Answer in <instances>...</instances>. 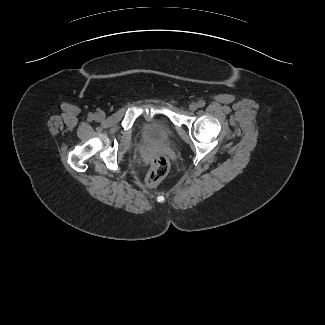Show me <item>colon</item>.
I'll return each instance as SVG.
<instances>
[{"instance_id":"obj_1","label":"colon","mask_w":325,"mask_h":325,"mask_svg":"<svg viewBox=\"0 0 325 325\" xmlns=\"http://www.w3.org/2000/svg\"><path fill=\"white\" fill-rule=\"evenodd\" d=\"M169 168L170 164L166 157L162 155L156 156L146 176V184L150 187L157 185L167 175Z\"/></svg>"}]
</instances>
